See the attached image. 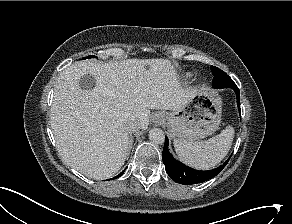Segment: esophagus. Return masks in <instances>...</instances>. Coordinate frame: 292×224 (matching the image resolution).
Wrapping results in <instances>:
<instances>
[{"label":"esophagus","instance_id":"obj_1","mask_svg":"<svg viewBox=\"0 0 292 224\" xmlns=\"http://www.w3.org/2000/svg\"><path fill=\"white\" fill-rule=\"evenodd\" d=\"M162 122H163V119L160 118V119H159V122H158V125H160Z\"/></svg>","mask_w":292,"mask_h":224}]
</instances>
